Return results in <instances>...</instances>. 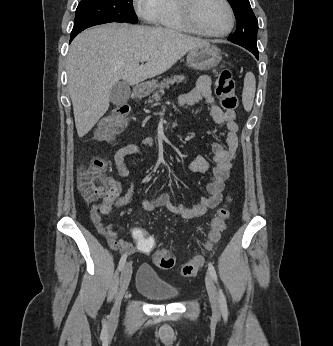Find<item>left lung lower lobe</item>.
I'll return each instance as SVG.
<instances>
[{"mask_svg": "<svg viewBox=\"0 0 333 346\" xmlns=\"http://www.w3.org/2000/svg\"><path fill=\"white\" fill-rule=\"evenodd\" d=\"M249 51L252 52L258 59V50H249Z\"/></svg>", "mask_w": 333, "mask_h": 346, "instance_id": "obj_1", "label": "left lung lower lobe"}]
</instances>
